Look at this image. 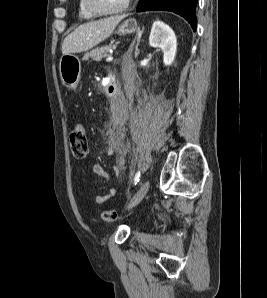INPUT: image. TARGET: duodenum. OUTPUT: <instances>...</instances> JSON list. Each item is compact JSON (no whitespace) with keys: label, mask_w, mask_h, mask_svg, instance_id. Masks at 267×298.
<instances>
[{"label":"duodenum","mask_w":267,"mask_h":298,"mask_svg":"<svg viewBox=\"0 0 267 298\" xmlns=\"http://www.w3.org/2000/svg\"><path fill=\"white\" fill-rule=\"evenodd\" d=\"M117 86H119V81L113 71H109L107 76V94L114 95L117 92Z\"/></svg>","instance_id":"obj_1"}]
</instances>
